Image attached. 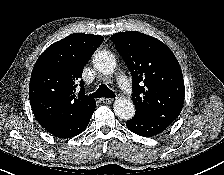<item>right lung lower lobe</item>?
Here are the masks:
<instances>
[{"label": "right lung lower lobe", "mask_w": 224, "mask_h": 175, "mask_svg": "<svg viewBox=\"0 0 224 175\" xmlns=\"http://www.w3.org/2000/svg\"><path fill=\"white\" fill-rule=\"evenodd\" d=\"M95 106L82 115L69 117L46 130L59 138L74 137L88 126L90 118L95 110Z\"/></svg>", "instance_id": "right-lung-lower-lobe-1"}]
</instances>
